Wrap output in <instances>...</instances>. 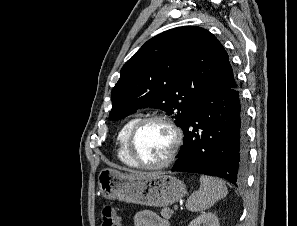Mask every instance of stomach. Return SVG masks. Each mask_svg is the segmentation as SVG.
<instances>
[{
  "mask_svg": "<svg viewBox=\"0 0 297 226\" xmlns=\"http://www.w3.org/2000/svg\"><path fill=\"white\" fill-rule=\"evenodd\" d=\"M98 186L107 199L155 207L171 205L187 193L184 182L172 175L128 176L109 168L99 173Z\"/></svg>",
  "mask_w": 297,
  "mask_h": 226,
  "instance_id": "obj_1",
  "label": "stomach"
}]
</instances>
